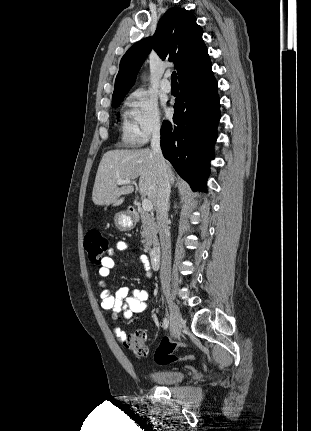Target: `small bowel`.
<instances>
[{
	"label": "small bowel",
	"instance_id": "c3829d8e",
	"mask_svg": "<svg viewBox=\"0 0 311 431\" xmlns=\"http://www.w3.org/2000/svg\"><path fill=\"white\" fill-rule=\"evenodd\" d=\"M119 251H132L137 250L129 245L127 242L119 241L116 244ZM140 262L143 264L147 272L151 271L148 259L145 255L139 257ZM116 264L115 252L110 251L108 256H105L99 268V274L102 277H107ZM101 288V307L104 310H110L113 316V324L115 326V333L117 337L124 341L126 334L121 330L118 324V318L121 315L124 319L131 318L136 313L144 312L148 307L149 293L144 289H130L129 287H120L115 294H112L105 282L100 283Z\"/></svg>",
	"mask_w": 311,
	"mask_h": 431
}]
</instances>
